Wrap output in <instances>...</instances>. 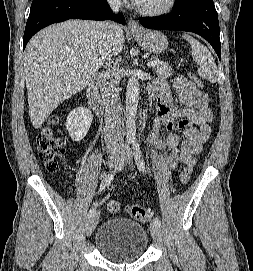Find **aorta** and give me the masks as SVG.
I'll return each instance as SVG.
<instances>
[{
    "label": "aorta",
    "mask_w": 253,
    "mask_h": 271,
    "mask_svg": "<svg viewBox=\"0 0 253 271\" xmlns=\"http://www.w3.org/2000/svg\"><path fill=\"white\" fill-rule=\"evenodd\" d=\"M139 103V82L136 75L129 78L126 89V135L128 140L136 138V114Z\"/></svg>",
    "instance_id": "1"
}]
</instances>
